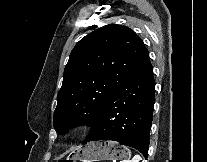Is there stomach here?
Wrapping results in <instances>:
<instances>
[{
  "label": "stomach",
  "instance_id": "obj_1",
  "mask_svg": "<svg viewBox=\"0 0 207 162\" xmlns=\"http://www.w3.org/2000/svg\"><path fill=\"white\" fill-rule=\"evenodd\" d=\"M130 150L116 142H92L76 149L67 160L97 162L105 160H123L129 158Z\"/></svg>",
  "mask_w": 207,
  "mask_h": 162
}]
</instances>
